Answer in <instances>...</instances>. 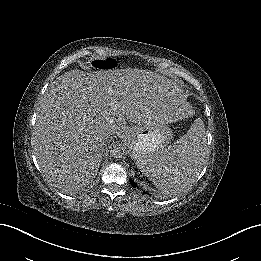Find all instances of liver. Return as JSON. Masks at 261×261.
Wrapping results in <instances>:
<instances>
[{"instance_id": "obj_1", "label": "liver", "mask_w": 261, "mask_h": 261, "mask_svg": "<svg viewBox=\"0 0 261 261\" xmlns=\"http://www.w3.org/2000/svg\"><path fill=\"white\" fill-rule=\"evenodd\" d=\"M133 98L129 88L103 71L75 70L49 88L40 101L35 127V155L42 170L59 181L90 174L101 161L107 135L119 133L125 122L116 118L121 110L126 115L130 111L134 123L161 115L163 102Z\"/></svg>"}]
</instances>
